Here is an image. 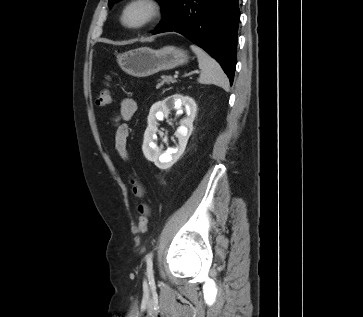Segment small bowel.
I'll return each mask as SVG.
<instances>
[{
  "instance_id": "obj_1",
  "label": "small bowel",
  "mask_w": 363,
  "mask_h": 317,
  "mask_svg": "<svg viewBox=\"0 0 363 317\" xmlns=\"http://www.w3.org/2000/svg\"><path fill=\"white\" fill-rule=\"evenodd\" d=\"M137 109V104L132 98H125L120 104L119 115L116 118L114 140L115 149L119 156L124 159H129V154L127 150V140L129 137V127L125 123L130 120Z\"/></svg>"
}]
</instances>
